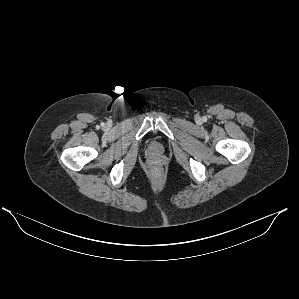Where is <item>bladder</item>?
<instances>
[{"instance_id": "obj_1", "label": "bladder", "mask_w": 299, "mask_h": 299, "mask_svg": "<svg viewBox=\"0 0 299 299\" xmlns=\"http://www.w3.org/2000/svg\"><path fill=\"white\" fill-rule=\"evenodd\" d=\"M149 150L152 151V152H159L161 150V146L157 141L152 140L149 143Z\"/></svg>"}]
</instances>
